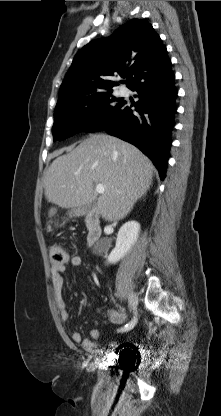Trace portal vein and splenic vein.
Masks as SVG:
<instances>
[{"mask_svg":"<svg viewBox=\"0 0 221 416\" xmlns=\"http://www.w3.org/2000/svg\"><path fill=\"white\" fill-rule=\"evenodd\" d=\"M95 191L99 194H102L105 191V187L102 184H97L96 188H95Z\"/></svg>","mask_w":221,"mask_h":416,"instance_id":"18ae733b","label":"portal vein and splenic vein"}]
</instances>
